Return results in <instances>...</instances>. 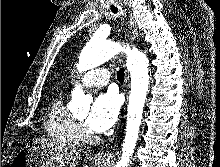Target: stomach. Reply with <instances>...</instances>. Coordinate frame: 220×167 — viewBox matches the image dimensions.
<instances>
[{"mask_svg":"<svg viewBox=\"0 0 220 167\" xmlns=\"http://www.w3.org/2000/svg\"><path fill=\"white\" fill-rule=\"evenodd\" d=\"M109 159L96 161L98 167H104ZM11 167H66V164L54 160H45L39 151L28 147L21 149L14 157Z\"/></svg>","mask_w":220,"mask_h":167,"instance_id":"0dacf381","label":"stomach"}]
</instances>
